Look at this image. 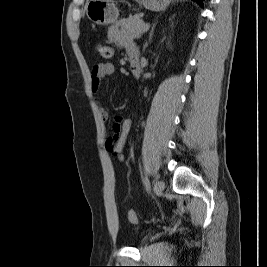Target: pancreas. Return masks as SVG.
<instances>
[{"label": "pancreas", "mask_w": 267, "mask_h": 267, "mask_svg": "<svg viewBox=\"0 0 267 267\" xmlns=\"http://www.w3.org/2000/svg\"><path fill=\"white\" fill-rule=\"evenodd\" d=\"M142 14H136L134 16H130L129 18L123 20L122 29L128 34L131 38H140L144 33L143 27L145 25L142 20Z\"/></svg>", "instance_id": "pancreas-1"}]
</instances>
